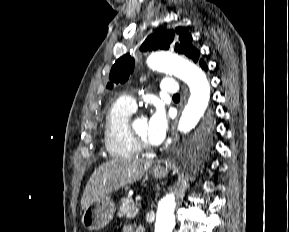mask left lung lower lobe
<instances>
[{"instance_id": "0a47b994", "label": "left lung lower lobe", "mask_w": 289, "mask_h": 232, "mask_svg": "<svg viewBox=\"0 0 289 232\" xmlns=\"http://www.w3.org/2000/svg\"><path fill=\"white\" fill-rule=\"evenodd\" d=\"M199 64L203 70L208 71V66L206 65V63L202 59L199 61Z\"/></svg>"}]
</instances>
